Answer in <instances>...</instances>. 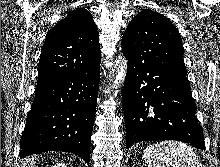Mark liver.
<instances>
[{"mask_svg": "<svg viewBox=\"0 0 220 167\" xmlns=\"http://www.w3.org/2000/svg\"><path fill=\"white\" fill-rule=\"evenodd\" d=\"M33 162H34V158H32V159L30 160V165H31ZM27 165H28V161L25 162V163L23 164V166H21V167H27Z\"/></svg>", "mask_w": 220, "mask_h": 167, "instance_id": "liver-1", "label": "liver"}]
</instances>
